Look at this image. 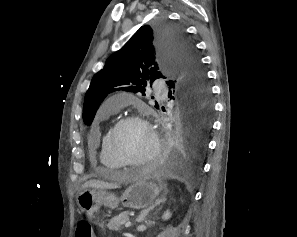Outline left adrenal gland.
Wrapping results in <instances>:
<instances>
[{
  "instance_id": "1",
  "label": "left adrenal gland",
  "mask_w": 297,
  "mask_h": 237,
  "mask_svg": "<svg viewBox=\"0 0 297 237\" xmlns=\"http://www.w3.org/2000/svg\"><path fill=\"white\" fill-rule=\"evenodd\" d=\"M168 191L165 190L162 198L157 200L155 202V204H153L152 206H150L148 209L141 211L139 217L137 218V222L141 223L146 219V216L148 215V213L153 210L155 207L159 206L161 203H164L166 201V195H167Z\"/></svg>"
}]
</instances>
